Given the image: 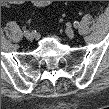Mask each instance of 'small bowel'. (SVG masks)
<instances>
[{
    "label": "small bowel",
    "instance_id": "obj_1",
    "mask_svg": "<svg viewBox=\"0 0 109 109\" xmlns=\"http://www.w3.org/2000/svg\"><path fill=\"white\" fill-rule=\"evenodd\" d=\"M33 4L38 8H44L49 4V1H34Z\"/></svg>",
    "mask_w": 109,
    "mask_h": 109
}]
</instances>
